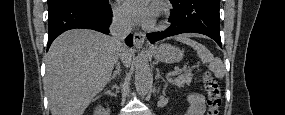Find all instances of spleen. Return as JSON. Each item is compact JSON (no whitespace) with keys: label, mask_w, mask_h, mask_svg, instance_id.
<instances>
[{"label":"spleen","mask_w":285,"mask_h":115,"mask_svg":"<svg viewBox=\"0 0 285 115\" xmlns=\"http://www.w3.org/2000/svg\"><path fill=\"white\" fill-rule=\"evenodd\" d=\"M177 41H180L184 44L191 46L194 50L197 51L198 57L203 63L209 64V70H211L215 77L223 78L225 75V67L220 58H215L213 54L202 44L197 41H194L188 38L185 35L179 36L176 38Z\"/></svg>","instance_id":"3e777b00"}]
</instances>
